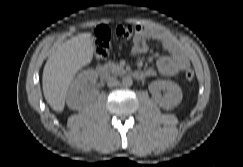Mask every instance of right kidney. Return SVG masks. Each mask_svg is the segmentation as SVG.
Wrapping results in <instances>:
<instances>
[{
    "mask_svg": "<svg viewBox=\"0 0 243 167\" xmlns=\"http://www.w3.org/2000/svg\"><path fill=\"white\" fill-rule=\"evenodd\" d=\"M97 74L93 70L80 73L71 83L66 95V103L72 110H79L91 99L89 85L95 83Z\"/></svg>",
    "mask_w": 243,
    "mask_h": 167,
    "instance_id": "right-kidney-1",
    "label": "right kidney"
}]
</instances>
